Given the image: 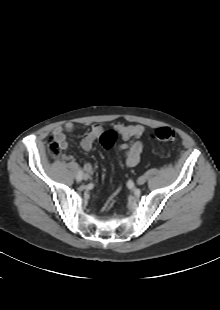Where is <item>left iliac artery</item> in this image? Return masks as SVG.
Masks as SVG:
<instances>
[{
    "instance_id": "obj_1",
    "label": "left iliac artery",
    "mask_w": 220,
    "mask_h": 310,
    "mask_svg": "<svg viewBox=\"0 0 220 310\" xmlns=\"http://www.w3.org/2000/svg\"><path fill=\"white\" fill-rule=\"evenodd\" d=\"M127 187H128L129 189H133V187H134V182H133L132 180H128V182H127Z\"/></svg>"
}]
</instances>
